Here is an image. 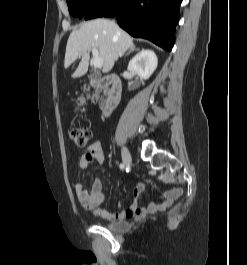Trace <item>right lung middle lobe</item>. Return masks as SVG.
Instances as JSON below:
<instances>
[{
  "label": "right lung middle lobe",
  "instance_id": "dd1d6c3e",
  "mask_svg": "<svg viewBox=\"0 0 247 265\" xmlns=\"http://www.w3.org/2000/svg\"><path fill=\"white\" fill-rule=\"evenodd\" d=\"M69 12L74 17L82 18L97 3L103 0H66Z\"/></svg>",
  "mask_w": 247,
  "mask_h": 265
}]
</instances>
